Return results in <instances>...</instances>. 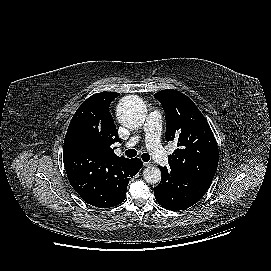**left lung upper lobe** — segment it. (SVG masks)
<instances>
[{
  "label": "left lung upper lobe",
  "instance_id": "5c2ea615",
  "mask_svg": "<svg viewBox=\"0 0 271 271\" xmlns=\"http://www.w3.org/2000/svg\"><path fill=\"white\" fill-rule=\"evenodd\" d=\"M154 97L166 114V140L177 149L168 156L173 168L210 186L218 166V147L213 132L193 101L176 90H161Z\"/></svg>",
  "mask_w": 271,
  "mask_h": 271
}]
</instances>
